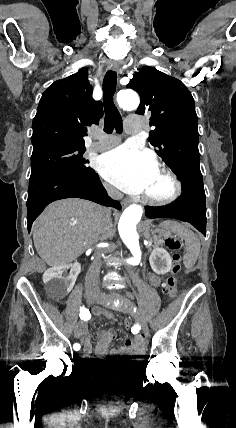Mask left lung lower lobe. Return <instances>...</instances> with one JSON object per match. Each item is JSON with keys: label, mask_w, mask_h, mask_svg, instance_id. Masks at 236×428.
Listing matches in <instances>:
<instances>
[{"label": "left lung lower lobe", "mask_w": 236, "mask_h": 428, "mask_svg": "<svg viewBox=\"0 0 236 428\" xmlns=\"http://www.w3.org/2000/svg\"><path fill=\"white\" fill-rule=\"evenodd\" d=\"M182 194L172 205L146 207L145 215L150 219L173 218L191 223L206 235V197L202 177H182Z\"/></svg>", "instance_id": "0a47b994"}]
</instances>
